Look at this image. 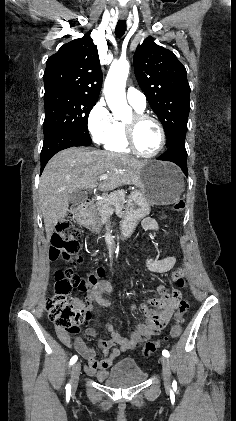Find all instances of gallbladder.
Masks as SVG:
<instances>
[{
    "instance_id": "bac80fb5",
    "label": "gallbladder",
    "mask_w": 236,
    "mask_h": 421,
    "mask_svg": "<svg viewBox=\"0 0 236 421\" xmlns=\"http://www.w3.org/2000/svg\"><path fill=\"white\" fill-rule=\"evenodd\" d=\"M85 196V192H81V190H76V192H71L69 196V202H81V200H83Z\"/></svg>"
}]
</instances>
